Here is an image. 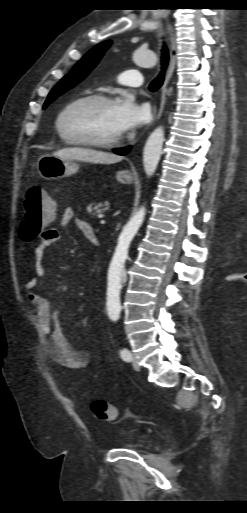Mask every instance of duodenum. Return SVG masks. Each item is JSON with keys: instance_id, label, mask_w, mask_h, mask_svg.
Returning <instances> with one entry per match:
<instances>
[{"instance_id": "410a0bca", "label": "duodenum", "mask_w": 247, "mask_h": 513, "mask_svg": "<svg viewBox=\"0 0 247 513\" xmlns=\"http://www.w3.org/2000/svg\"><path fill=\"white\" fill-rule=\"evenodd\" d=\"M88 240L94 245H99V239L95 233H91L87 236Z\"/></svg>"}]
</instances>
